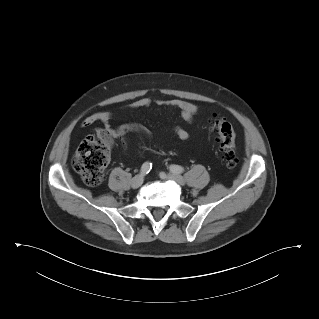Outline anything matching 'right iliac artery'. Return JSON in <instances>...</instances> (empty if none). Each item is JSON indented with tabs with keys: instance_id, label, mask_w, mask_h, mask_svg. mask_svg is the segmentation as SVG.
<instances>
[{
	"instance_id": "right-iliac-artery-1",
	"label": "right iliac artery",
	"mask_w": 319,
	"mask_h": 319,
	"mask_svg": "<svg viewBox=\"0 0 319 319\" xmlns=\"http://www.w3.org/2000/svg\"><path fill=\"white\" fill-rule=\"evenodd\" d=\"M152 168V164L150 162H145L142 167H141V170H140V173L141 175H146L150 172Z\"/></svg>"
}]
</instances>
